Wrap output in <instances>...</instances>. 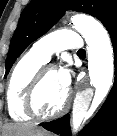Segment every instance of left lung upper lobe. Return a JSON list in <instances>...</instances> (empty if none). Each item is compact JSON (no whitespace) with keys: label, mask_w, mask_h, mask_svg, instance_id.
<instances>
[{"label":"left lung upper lobe","mask_w":117,"mask_h":136,"mask_svg":"<svg viewBox=\"0 0 117 136\" xmlns=\"http://www.w3.org/2000/svg\"><path fill=\"white\" fill-rule=\"evenodd\" d=\"M68 9L90 14L105 26L117 14V0H32L23 10L11 39L5 77L19 55Z\"/></svg>","instance_id":"5c2ea615"}]
</instances>
